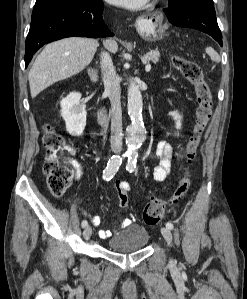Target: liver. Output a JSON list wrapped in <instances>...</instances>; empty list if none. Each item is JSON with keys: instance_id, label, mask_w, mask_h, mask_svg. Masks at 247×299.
I'll use <instances>...</instances> for the list:
<instances>
[{"instance_id": "liver-1", "label": "liver", "mask_w": 247, "mask_h": 299, "mask_svg": "<svg viewBox=\"0 0 247 299\" xmlns=\"http://www.w3.org/2000/svg\"><path fill=\"white\" fill-rule=\"evenodd\" d=\"M98 42L96 39L69 37L45 46L33 63L28 79L31 97L35 98L50 85L80 73L92 61ZM105 46L116 53L118 44L107 40Z\"/></svg>"}]
</instances>
